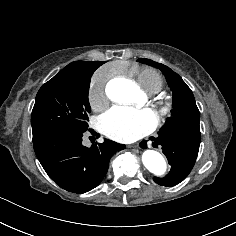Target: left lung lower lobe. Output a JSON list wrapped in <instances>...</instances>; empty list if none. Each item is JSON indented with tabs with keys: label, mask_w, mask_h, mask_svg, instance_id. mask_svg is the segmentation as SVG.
<instances>
[{
	"label": "left lung lower lobe",
	"mask_w": 236,
	"mask_h": 236,
	"mask_svg": "<svg viewBox=\"0 0 236 236\" xmlns=\"http://www.w3.org/2000/svg\"><path fill=\"white\" fill-rule=\"evenodd\" d=\"M154 139V145H160L171 165L170 172L163 178L154 177L161 186H174L184 180L192 170L199 151L200 132L169 128ZM152 139V140H153ZM146 147L145 141L141 143Z\"/></svg>",
	"instance_id": "0a47b994"
}]
</instances>
